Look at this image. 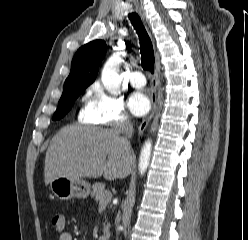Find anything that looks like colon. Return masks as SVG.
I'll list each match as a JSON object with an SVG mask.
<instances>
[{
    "mask_svg": "<svg viewBox=\"0 0 248 240\" xmlns=\"http://www.w3.org/2000/svg\"><path fill=\"white\" fill-rule=\"evenodd\" d=\"M52 225L56 232L63 233L65 230V218L62 214H55L52 218Z\"/></svg>",
    "mask_w": 248,
    "mask_h": 240,
    "instance_id": "1",
    "label": "colon"
}]
</instances>
